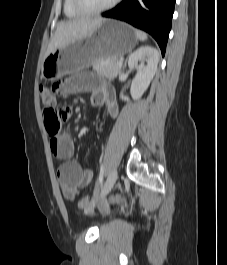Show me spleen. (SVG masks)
Instances as JSON below:
<instances>
[{"instance_id": "1", "label": "spleen", "mask_w": 227, "mask_h": 265, "mask_svg": "<svg viewBox=\"0 0 227 265\" xmlns=\"http://www.w3.org/2000/svg\"><path fill=\"white\" fill-rule=\"evenodd\" d=\"M135 34L138 40L145 41L147 39V34L141 30H135Z\"/></svg>"}]
</instances>
